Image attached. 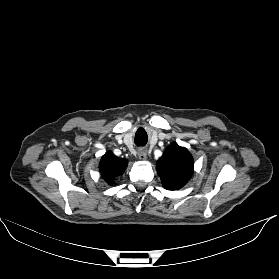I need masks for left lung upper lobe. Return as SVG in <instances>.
<instances>
[{"label":"left lung upper lobe","mask_w":279,"mask_h":279,"mask_svg":"<svg viewBox=\"0 0 279 279\" xmlns=\"http://www.w3.org/2000/svg\"><path fill=\"white\" fill-rule=\"evenodd\" d=\"M157 172L165 189H180L192 176L193 158L186 148L173 142L157 161Z\"/></svg>","instance_id":"left-lung-upper-lobe-1"}]
</instances>
